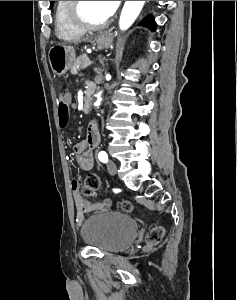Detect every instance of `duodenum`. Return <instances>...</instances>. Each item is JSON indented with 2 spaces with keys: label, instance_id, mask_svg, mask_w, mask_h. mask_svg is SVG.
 <instances>
[{
  "label": "duodenum",
  "instance_id": "410a0bca",
  "mask_svg": "<svg viewBox=\"0 0 237 300\" xmlns=\"http://www.w3.org/2000/svg\"><path fill=\"white\" fill-rule=\"evenodd\" d=\"M91 102H92V90L91 89H87L85 92V96L83 98V111H88V109L91 106Z\"/></svg>",
  "mask_w": 237,
  "mask_h": 300
}]
</instances>
